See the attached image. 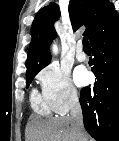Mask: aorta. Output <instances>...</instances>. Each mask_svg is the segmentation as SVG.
<instances>
[{
    "mask_svg": "<svg viewBox=\"0 0 119 141\" xmlns=\"http://www.w3.org/2000/svg\"><path fill=\"white\" fill-rule=\"evenodd\" d=\"M52 50H53V53L56 54L57 53V46L53 45Z\"/></svg>",
    "mask_w": 119,
    "mask_h": 141,
    "instance_id": "obj_1",
    "label": "aorta"
}]
</instances>
